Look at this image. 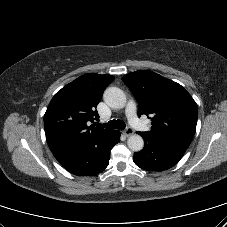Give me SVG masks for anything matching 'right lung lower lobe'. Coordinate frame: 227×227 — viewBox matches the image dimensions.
I'll return each instance as SVG.
<instances>
[{"label":"right lung lower lobe","mask_w":227,"mask_h":227,"mask_svg":"<svg viewBox=\"0 0 227 227\" xmlns=\"http://www.w3.org/2000/svg\"><path fill=\"white\" fill-rule=\"evenodd\" d=\"M120 141V132H111L75 148L55 153V158L70 173L92 176L102 172L109 164L110 151Z\"/></svg>","instance_id":"98d812e1"}]
</instances>
